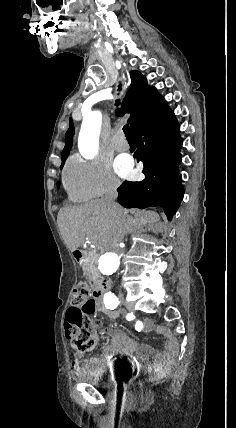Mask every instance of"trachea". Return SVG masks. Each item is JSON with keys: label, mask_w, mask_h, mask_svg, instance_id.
I'll list each match as a JSON object with an SVG mask.
<instances>
[{"label": "trachea", "mask_w": 236, "mask_h": 428, "mask_svg": "<svg viewBox=\"0 0 236 428\" xmlns=\"http://www.w3.org/2000/svg\"><path fill=\"white\" fill-rule=\"evenodd\" d=\"M118 91H121V84L119 85ZM119 103H120V100L119 99L116 100V103H115L116 106H118ZM123 131L125 133V136H126L127 140H131V139L133 140L132 131H131V128L129 127V125H124Z\"/></svg>", "instance_id": "3493384b"}]
</instances>
